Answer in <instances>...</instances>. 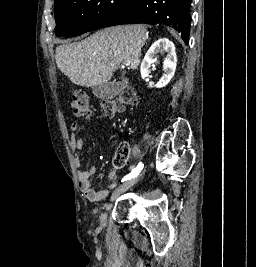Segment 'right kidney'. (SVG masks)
I'll list each match as a JSON object with an SVG mask.
<instances>
[{
  "instance_id": "1",
  "label": "right kidney",
  "mask_w": 256,
  "mask_h": 267,
  "mask_svg": "<svg viewBox=\"0 0 256 267\" xmlns=\"http://www.w3.org/2000/svg\"><path fill=\"white\" fill-rule=\"evenodd\" d=\"M158 52H166V60L163 62V70L164 74L162 78H160L159 82L157 84H150L151 88H164V86H167L169 84L171 78H173L176 70V52H175V46L173 42H170L168 38H160V40H157V42H154L152 44L151 48H149L144 60L141 62L140 66V72H141V78L143 80H147L149 74H150V66L153 64L155 60V54H158Z\"/></svg>"
}]
</instances>
